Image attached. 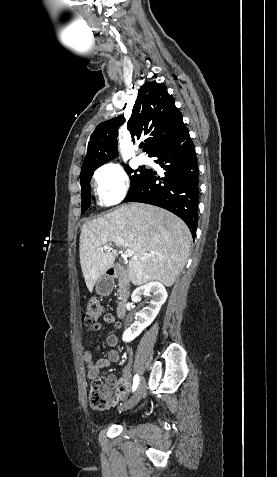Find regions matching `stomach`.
Masks as SVG:
<instances>
[{
  "instance_id": "0dacf381",
  "label": "stomach",
  "mask_w": 277,
  "mask_h": 477,
  "mask_svg": "<svg viewBox=\"0 0 277 477\" xmlns=\"http://www.w3.org/2000/svg\"><path fill=\"white\" fill-rule=\"evenodd\" d=\"M113 289V281L106 277H100L95 283V290L99 295H108Z\"/></svg>"
}]
</instances>
